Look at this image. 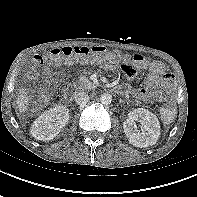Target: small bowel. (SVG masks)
Listing matches in <instances>:
<instances>
[{
	"instance_id": "obj_1",
	"label": "small bowel",
	"mask_w": 197,
	"mask_h": 197,
	"mask_svg": "<svg viewBox=\"0 0 197 197\" xmlns=\"http://www.w3.org/2000/svg\"><path fill=\"white\" fill-rule=\"evenodd\" d=\"M122 69L128 79L135 78L136 72L131 66L130 59H124ZM46 72H50V69L47 68ZM36 75L35 71L30 72L31 78H35ZM123 86L135 98L147 103H153L170 99L174 90V81L172 75L166 73L165 65L162 62L153 61L149 64V74L145 78L143 87L132 88L129 85Z\"/></svg>"
}]
</instances>
